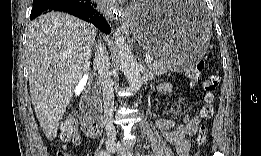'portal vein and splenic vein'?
<instances>
[{
	"label": "portal vein and splenic vein",
	"instance_id": "obj_1",
	"mask_svg": "<svg viewBox=\"0 0 261 156\" xmlns=\"http://www.w3.org/2000/svg\"><path fill=\"white\" fill-rule=\"evenodd\" d=\"M152 60H153V58L148 56L145 58V63H150V62H152Z\"/></svg>",
	"mask_w": 261,
	"mask_h": 156
}]
</instances>
